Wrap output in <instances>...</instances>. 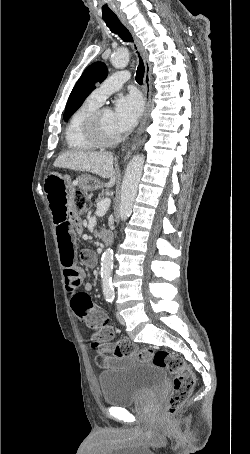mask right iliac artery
Instances as JSON below:
<instances>
[{
	"label": "right iliac artery",
	"mask_w": 250,
	"mask_h": 454,
	"mask_svg": "<svg viewBox=\"0 0 250 454\" xmlns=\"http://www.w3.org/2000/svg\"><path fill=\"white\" fill-rule=\"evenodd\" d=\"M107 301L112 303L113 299H108Z\"/></svg>",
	"instance_id": "right-iliac-artery-1"
}]
</instances>
